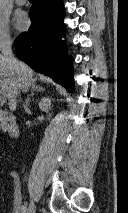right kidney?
<instances>
[{"mask_svg": "<svg viewBox=\"0 0 128 213\" xmlns=\"http://www.w3.org/2000/svg\"><path fill=\"white\" fill-rule=\"evenodd\" d=\"M39 109L43 112H49L51 109V99L49 97H44L39 103Z\"/></svg>", "mask_w": 128, "mask_h": 213, "instance_id": "ca27d5eb", "label": "right kidney"}]
</instances>
